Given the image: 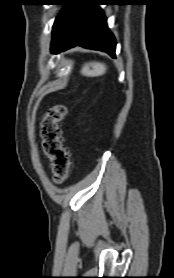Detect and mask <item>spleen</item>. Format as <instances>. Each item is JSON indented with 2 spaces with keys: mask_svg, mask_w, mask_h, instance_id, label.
Segmentation results:
<instances>
[{
  "mask_svg": "<svg viewBox=\"0 0 174 278\" xmlns=\"http://www.w3.org/2000/svg\"><path fill=\"white\" fill-rule=\"evenodd\" d=\"M106 65L100 62H90L84 64L81 69V74L86 77H97L105 74Z\"/></svg>",
  "mask_w": 174,
  "mask_h": 278,
  "instance_id": "1",
  "label": "spleen"
}]
</instances>
